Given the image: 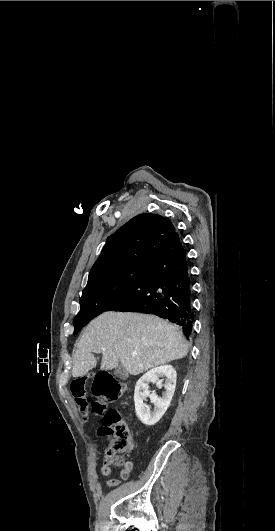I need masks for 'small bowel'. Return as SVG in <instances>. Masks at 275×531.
Returning <instances> with one entry per match:
<instances>
[{"instance_id":"obj_1","label":"small bowel","mask_w":275,"mask_h":531,"mask_svg":"<svg viewBox=\"0 0 275 531\" xmlns=\"http://www.w3.org/2000/svg\"><path fill=\"white\" fill-rule=\"evenodd\" d=\"M132 448H133V447H130V449H129L127 452H129ZM99 473H100L101 475H104V476H107V474H109V473H108V469H106L105 465L102 466V467L100 468ZM122 476H123V477H127V479L130 477V475H122ZM105 485H106V487H108V486H107V483H105Z\"/></svg>"}]
</instances>
